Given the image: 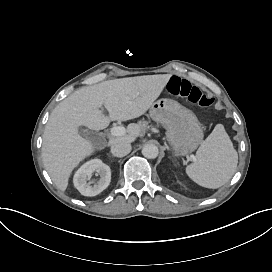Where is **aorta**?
Returning <instances> with one entry per match:
<instances>
[{
    "label": "aorta",
    "mask_w": 272,
    "mask_h": 272,
    "mask_svg": "<svg viewBox=\"0 0 272 272\" xmlns=\"http://www.w3.org/2000/svg\"><path fill=\"white\" fill-rule=\"evenodd\" d=\"M159 149L154 144H146L142 148V155L149 159H154L158 156Z\"/></svg>",
    "instance_id": "obj_1"
}]
</instances>
